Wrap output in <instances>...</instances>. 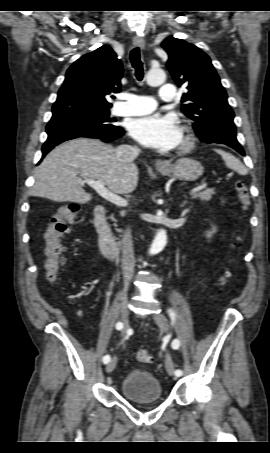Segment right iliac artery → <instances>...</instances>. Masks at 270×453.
Instances as JSON below:
<instances>
[{
    "label": "right iliac artery",
    "instance_id": "right-iliac-artery-1",
    "mask_svg": "<svg viewBox=\"0 0 270 453\" xmlns=\"http://www.w3.org/2000/svg\"><path fill=\"white\" fill-rule=\"evenodd\" d=\"M122 328H123V324H122L121 322H118V323L116 324V329H117V330H121ZM110 359H111V358H110V355H108V354L105 355V356L103 357V363H104V364H107V363L110 361Z\"/></svg>",
    "mask_w": 270,
    "mask_h": 453
}]
</instances>
